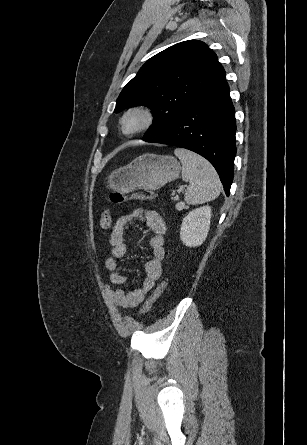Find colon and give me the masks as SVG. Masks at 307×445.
I'll list each match as a JSON object with an SVG mask.
<instances>
[{"label":"colon","mask_w":307,"mask_h":445,"mask_svg":"<svg viewBox=\"0 0 307 445\" xmlns=\"http://www.w3.org/2000/svg\"><path fill=\"white\" fill-rule=\"evenodd\" d=\"M130 198L133 199H152L154 197V194L152 192H135L132 193ZM128 198L127 195H124L123 193L119 191H114L110 194V200L112 204H119L125 201ZM113 221V212L112 210L108 209L104 211L99 220V225L102 230L108 229ZM167 282L166 280L162 281L153 291V293L147 298V300L144 302L140 313L142 315L146 314L153 304L157 301V299L161 296L164 289L166 288Z\"/></svg>","instance_id":"5ec220e1"}]
</instances>
